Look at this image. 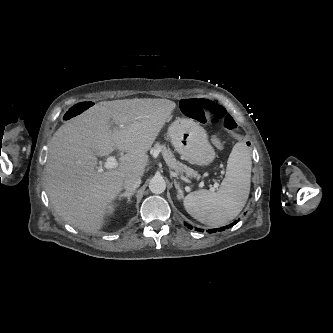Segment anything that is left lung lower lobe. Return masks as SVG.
<instances>
[{
  "instance_id": "left-lung-lower-lobe-1",
  "label": "left lung lower lobe",
  "mask_w": 333,
  "mask_h": 333,
  "mask_svg": "<svg viewBox=\"0 0 333 333\" xmlns=\"http://www.w3.org/2000/svg\"><path fill=\"white\" fill-rule=\"evenodd\" d=\"M236 223H238V221H235L234 223H232L231 225H228V226H226V227H222V228L218 229V231L225 230V228H229V227H231V226H234ZM184 224H185L189 229H193V227H192L191 225L187 224L186 222H184ZM195 230H196V231H202V232H203V230L198 229V228H195ZM207 232H209V233H214V232H216V229H209Z\"/></svg>"
}]
</instances>
